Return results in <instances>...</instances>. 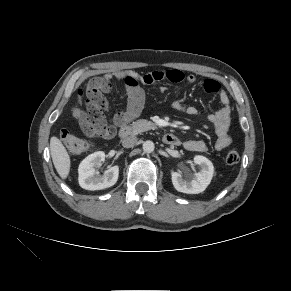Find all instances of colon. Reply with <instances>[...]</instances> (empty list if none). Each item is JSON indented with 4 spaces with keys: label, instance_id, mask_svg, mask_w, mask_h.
I'll return each instance as SVG.
<instances>
[{
    "label": "colon",
    "instance_id": "colon-1",
    "mask_svg": "<svg viewBox=\"0 0 291 291\" xmlns=\"http://www.w3.org/2000/svg\"><path fill=\"white\" fill-rule=\"evenodd\" d=\"M103 93L101 86L87 87L80 91L79 103L72 110L73 118L88 132H91L102 121V108L106 101ZM61 139L68 151L73 154L84 153L91 147L89 142L67 129L62 130ZM239 159L240 156L236 150H230L225 155V162L229 165L238 163Z\"/></svg>",
    "mask_w": 291,
    "mask_h": 291
}]
</instances>
